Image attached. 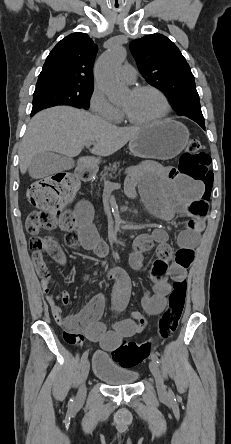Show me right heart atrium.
Listing matches in <instances>:
<instances>
[{
  "label": "right heart atrium",
  "mask_w": 231,
  "mask_h": 444,
  "mask_svg": "<svg viewBox=\"0 0 231 444\" xmlns=\"http://www.w3.org/2000/svg\"><path fill=\"white\" fill-rule=\"evenodd\" d=\"M90 108L94 114L109 121H118L121 113L106 97L104 92L95 88L90 96Z\"/></svg>",
  "instance_id": "obj_1"
}]
</instances>
